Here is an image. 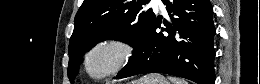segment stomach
Returning <instances> with one entry per match:
<instances>
[{"instance_id":"0dacf381","label":"stomach","mask_w":260,"mask_h":84,"mask_svg":"<svg viewBox=\"0 0 260 84\" xmlns=\"http://www.w3.org/2000/svg\"><path fill=\"white\" fill-rule=\"evenodd\" d=\"M128 84H170L168 80L161 74L151 73L144 75L138 80L132 81Z\"/></svg>"}]
</instances>
